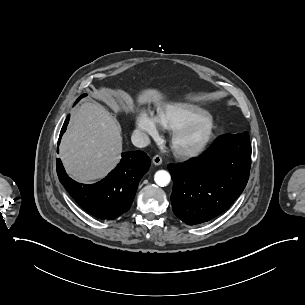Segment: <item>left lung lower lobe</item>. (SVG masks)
<instances>
[{
    "label": "left lung lower lobe",
    "mask_w": 305,
    "mask_h": 305,
    "mask_svg": "<svg viewBox=\"0 0 305 305\" xmlns=\"http://www.w3.org/2000/svg\"><path fill=\"white\" fill-rule=\"evenodd\" d=\"M250 167L248 132L223 135L200 157L169 164L174 214L188 225L218 216L243 192Z\"/></svg>",
    "instance_id": "1"
}]
</instances>
